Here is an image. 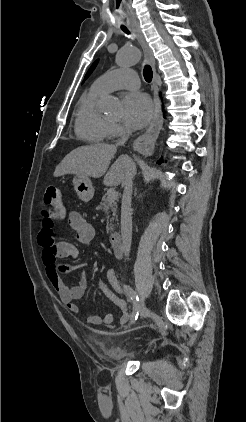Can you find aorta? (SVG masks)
<instances>
[{
  "instance_id": "aorta-1",
  "label": "aorta",
  "mask_w": 246,
  "mask_h": 422,
  "mask_svg": "<svg viewBox=\"0 0 246 422\" xmlns=\"http://www.w3.org/2000/svg\"><path fill=\"white\" fill-rule=\"evenodd\" d=\"M139 60L140 51L135 46L121 48L116 55V62L119 66L133 65L138 63ZM105 111L110 114H117L119 108L115 103H108L105 106Z\"/></svg>"
}]
</instances>
